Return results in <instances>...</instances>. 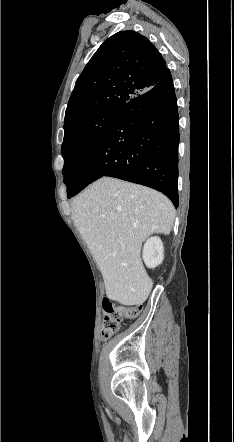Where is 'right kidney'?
<instances>
[{
    "label": "right kidney",
    "mask_w": 234,
    "mask_h": 442,
    "mask_svg": "<svg viewBox=\"0 0 234 442\" xmlns=\"http://www.w3.org/2000/svg\"><path fill=\"white\" fill-rule=\"evenodd\" d=\"M164 247L159 237L149 238L143 247V260L147 267L155 268L162 263Z\"/></svg>",
    "instance_id": "obj_1"
}]
</instances>
